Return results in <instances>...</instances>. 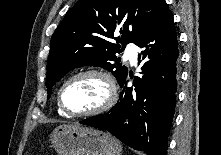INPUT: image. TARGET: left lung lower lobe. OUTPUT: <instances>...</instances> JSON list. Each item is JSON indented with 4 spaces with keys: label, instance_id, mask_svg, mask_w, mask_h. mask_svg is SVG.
Returning <instances> with one entry per match:
<instances>
[{
    "label": "left lung lower lobe",
    "instance_id": "1",
    "mask_svg": "<svg viewBox=\"0 0 221 155\" xmlns=\"http://www.w3.org/2000/svg\"><path fill=\"white\" fill-rule=\"evenodd\" d=\"M136 45L142 50V78L127 87V75L119 102L107 113L81 124L107 130L131 148L148 155H166L167 139L176 104L178 42L174 20L166 2L143 30Z\"/></svg>",
    "mask_w": 221,
    "mask_h": 155
}]
</instances>
